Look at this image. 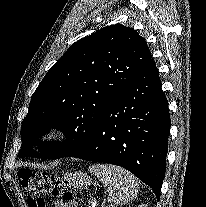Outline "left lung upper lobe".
I'll use <instances>...</instances> for the list:
<instances>
[{
  "instance_id": "1",
  "label": "left lung upper lobe",
  "mask_w": 206,
  "mask_h": 207,
  "mask_svg": "<svg viewBox=\"0 0 206 207\" xmlns=\"http://www.w3.org/2000/svg\"><path fill=\"white\" fill-rule=\"evenodd\" d=\"M145 40L132 28L107 26L74 43L32 95L21 125L19 157H67L92 140L110 103L151 60ZM50 128L63 142H37ZM41 146V153L33 146Z\"/></svg>"
}]
</instances>
